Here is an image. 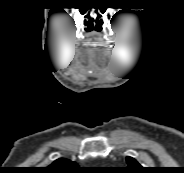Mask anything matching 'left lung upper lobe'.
Returning a JSON list of instances; mask_svg holds the SVG:
<instances>
[{"label":"left lung upper lobe","mask_w":184,"mask_h":173,"mask_svg":"<svg viewBox=\"0 0 184 173\" xmlns=\"http://www.w3.org/2000/svg\"><path fill=\"white\" fill-rule=\"evenodd\" d=\"M128 163V168H126L130 173H141L143 172L142 166L132 157L126 158Z\"/></svg>","instance_id":"1"}]
</instances>
